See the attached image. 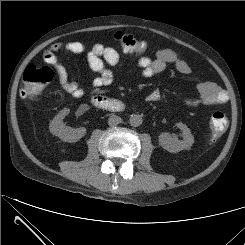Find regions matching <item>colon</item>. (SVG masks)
Returning <instances> with one entry per match:
<instances>
[{"mask_svg": "<svg viewBox=\"0 0 245 245\" xmlns=\"http://www.w3.org/2000/svg\"><path fill=\"white\" fill-rule=\"evenodd\" d=\"M113 37L125 52L142 54L149 50L146 42L132 35L116 32ZM52 78L53 71L49 67L27 66L23 73V85L20 90L21 96L27 100L35 99L41 90L51 82ZM227 125V116L221 111L214 112L210 118V139H218L226 130Z\"/></svg>", "mask_w": 245, "mask_h": 245, "instance_id": "1", "label": "colon"}]
</instances>
